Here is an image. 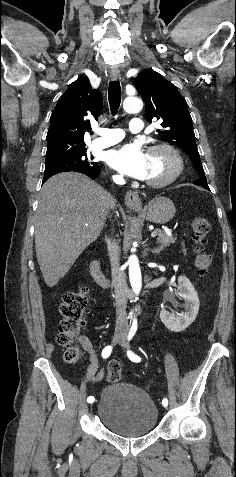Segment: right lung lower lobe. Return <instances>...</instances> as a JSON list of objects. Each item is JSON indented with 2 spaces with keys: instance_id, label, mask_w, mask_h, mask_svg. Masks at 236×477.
Wrapping results in <instances>:
<instances>
[{
  "instance_id": "1",
  "label": "right lung lower lobe",
  "mask_w": 236,
  "mask_h": 477,
  "mask_svg": "<svg viewBox=\"0 0 236 477\" xmlns=\"http://www.w3.org/2000/svg\"><path fill=\"white\" fill-rule=\"evenodd\" d=\"M75 172H79V173H82V174H85L87 176H89L91 179H94L96 177L99 176L100 172H101V169L100 167H98L97 169H95L94 171L92 172H87V171H83V170H76ZM51 176L53 175H44V178H43V182L44 183L48 178H50Z\"/></svg>"
}]
</instances>
